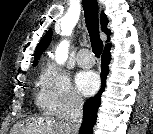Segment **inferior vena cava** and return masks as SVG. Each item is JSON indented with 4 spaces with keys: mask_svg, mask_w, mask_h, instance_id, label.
Wrapping results in <instances>:
<instances>
[{
    "mask_svg": "<svg viewBox=\"0 0 153 134\" xmlns=\"http://www.w3.org/2000/svg\"><path fill=\"white\" fill-rule=\"evenodd\" d=\"M83 103L81 98L71 102L63 123L64 134H78L83 119Z\"/></svg>",
    "mask_w": 153,
    "mask_h": 134,
    "instance_id": "obj_1",
    "label": "inferior vena cava"
}]
</instances>
